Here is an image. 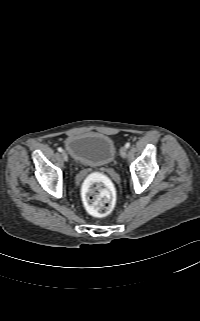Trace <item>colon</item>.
<instances>
[{
	"mask_svg": "<svg viewBox=\"0 0 200 321\" xmlns=\"http://www.w3.org/2000/svg\"><path fill=\"white\" fill-rule=\"evenodd\" d=\"M83 194L86 208L94 216H107L114 208L115 191L103 175L90 176L84 185Z\"/></svg>",
	"mask_w": 200,
	"mask_h": 321,
	"instance_id": "obj_1",
	"label": "colon"
}]
</instances>
